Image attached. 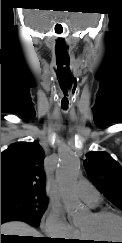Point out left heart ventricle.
<instances>
[{
  "instance_id": "obj_1",
  "label": "left heart ventricle",
  "mask_w": 122,
  "mask_h": 243,
  "mask_svg": "<svg viewBox=\"0 0 122 243\" xmlns=\"http://www.w3.org/2000/svg\"><path fill=\"white\" fill-rule=\"evenodd\" d=\"M78 227L87 236L102 241H94L97 243H109L110 239L122 238V221L116 217L108 216L96 219L89 214Z\"/></svg>"
}]
</instances>
